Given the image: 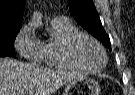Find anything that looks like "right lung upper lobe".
I'll return each mask as SVG.
<instances>
[{
	"mask_svg": "<svg viewBox=\"0 0 135 95\" xmlns=\"http://www.w3.org/2000/svg\"><path fill=\"white\" fill-rule=\"evenodd\" d=\"M25 0H0V34L19 31Z\"/></svg>",
	"mask_w": 135,
	"mask_h": 95,
	"instance_id": "right-lung-upper-lobe-1",
	"label": "right lung upper lobe"
}]
</instances>
